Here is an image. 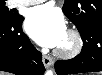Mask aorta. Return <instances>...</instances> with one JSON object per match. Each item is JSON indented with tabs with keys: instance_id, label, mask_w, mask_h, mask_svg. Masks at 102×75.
Here are the masks:
<instances>
[{
	"instance_id": "obj_1",
	"label": "aorta",
	"mask_w": 102,
	"mask_h": 75,
	"mask_svg": "<svg viewBox=\"0 0 102 75\" xmlns=\"http://www.w3.org/2000/svg\"><path fill=\"white\" fill-rule=\"evenodd\" d=\"M45 75H53V71L52 70H47Z\"/></svg>"
}]
</instances>
